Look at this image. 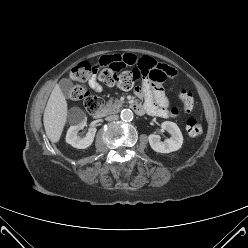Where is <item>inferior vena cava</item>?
I'll return each mask as SVG.
<instances>
[{
    "instance_id": "inferior-vena-cava-1",
    "label": "inferior vena cava",
    "mask_w": 248,
    "mask_h": 248,
    "mask_svg": "<svg viewBox=\"0 0 248 248\" xmlns=\"http://www.w3.org/2000/svg\"><path fill=\"white\" fill-rule=\"evenodd\" d=\"M119 116L118 115H110L106 117L107 121H112V120H118Z\"/></svg>"
}]
</instances>
